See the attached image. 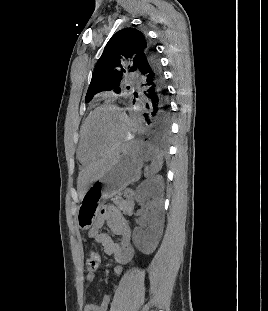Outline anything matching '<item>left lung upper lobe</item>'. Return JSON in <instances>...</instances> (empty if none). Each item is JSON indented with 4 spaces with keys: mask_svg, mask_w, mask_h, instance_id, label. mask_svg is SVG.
<instances>
[{
    "mask_svg": "<svg viewBox=\"0 0 268 311\" xmlns=\"http://www.w3.org/2000/svg\"><path fill=\"white\" fill-rule=\"evenodd\" d=\"M148 41L140 30L124 28L106 44L97 61L85 101L102 91L121 92L119 87L127 72H138L141 62L148 60Z\"/></svg>",
    "mask_w": 268,
    "mask_h": 311,
    "instance_id": "5c2ea615",
    "label": "left lung upper lobe"
}]
</instances>
